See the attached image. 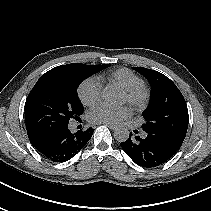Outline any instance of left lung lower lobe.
Returning a JSON list of instances; mask_svg holds the SVG:
<instances>
[{
  "mask_svg": "<svg viewBox=\"0 0 211 211\" xmlns=\"http://www.w3.org/2000/svg\"><path fill=\"white\" fill-rule=\"evenodd\" d=\"M120 145L137 165L146 168L163 164L179 150L152 134H148L146 138H140L139 136L132 137L130 133L129 138Z\"/></svg>",
  "mask_w": 211,
  "mask_h": 211,
  "instance_id": "left-lung-lower-lobe-1",
  "label": "left lung lower lobe"
}]
</instances>
